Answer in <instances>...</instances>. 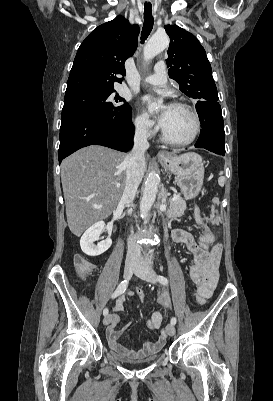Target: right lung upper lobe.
Listing matches in <instances>:
<instances>
[{"label": "right lung upper lobe", "mask_w": 273, "mask_h": 401, "mask_svg": "<svg viewBox=\"0 0 273 401\" xmlns=\"http://www.w3.org/2000/svg\"><path fill=\"white\" fill-rule=\"evenodd\" d=\"M139 27L118 16L98 26L80 45L65 95L95 90H114L116 75H124L125 60L138 45Z\"/></svg>", "instance_id": "cb5924a9"}]
</instances>
